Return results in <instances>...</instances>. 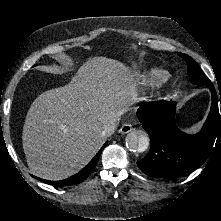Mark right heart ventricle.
Returning a JSON list of instances; mask_svg holds the SVG:
<instances>
[{
    "label": "right heart ventricle",
    "mask_w": 221,
    "mask_h": 221,
    "mask_svg": "<svg viewBox=\"0 0 221 221\" xmlns=\"http://www.w3.org/2000/svg\"><path fill=\"white\" fill-rule=\"evenodd\" d=\"M165 76L166 74L163 71L153 70L145 76V79L150 83H155L164 79Z\"/></svg>",
    "instance_id": "right-heart-ventricle-1"
}]
</instances>
